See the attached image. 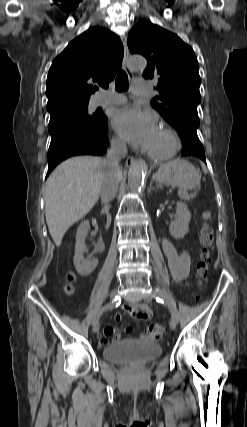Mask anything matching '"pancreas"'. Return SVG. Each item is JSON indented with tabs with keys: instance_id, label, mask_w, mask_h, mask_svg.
<instances>
[{
	"instance_id": "obj_1",
	"label": "pancreas",
	"mask_w": 247,
	"mask_h": 427,
	"mask_svg": "<svg viewBox=\"0 0 247 427\" xmlns=\"http://www.w3.org/2000/svg\"><path fill=\"white\" fill-rule=\"evenodd\" d=\"M180 196L186 200H189L193 197V195L188 194L187 192H182V191L180 192Z\"/></svg>"
}]
</instances>
